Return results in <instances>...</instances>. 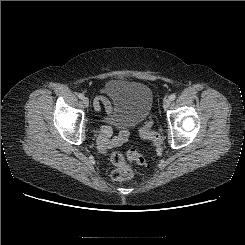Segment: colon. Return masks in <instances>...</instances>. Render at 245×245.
I'll return each instance as SVG.
<instances>
[{
  "mask_svg": "<svg viewBox=\"0 0 245 245\" xmlns=\"http://www.w3.org/2000/svg\"><path fill=\"white\" fill-rule=\"evenodd\" d=\"M139 134L142 138L153 143L154 149L157 153L162 150L161 136L151 129V122H147L139 128ZM110 161L115 167L111 176L115 181H129L134 178L135 172L130 166V162L140 165L146 164V159L136 149H131L125 157L120 152H112L110 154Z\"/></svg>",
  "mask_w": 245,
  "mask_h": 245,
  "instance_id": "5ec220e1",
  "label": "colon"
}]
</instances>
